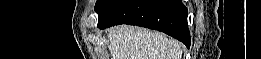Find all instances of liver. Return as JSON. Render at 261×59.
<instances>
[{
    "label": "liver",
    "instance_id": "obj_1",
    "mask_svg": "<svg viewBox=\"0 0 261 59\" xmlns=\"http://www.w3.org/2000/svg\"><path fill=\"white\" fill-rule=\"evenodd\" d=\"M112 59H181V43L166 34L135 26L108 30Z\"/></svg>",
    "mask_w": 261,
    "mask_h": 59
}]
</instances>
